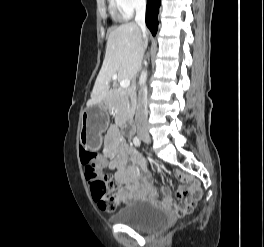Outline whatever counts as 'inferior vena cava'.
Returning <instances> with one entry per match:
<instances>
[{"label": "inferior vena cava", "mask_w": 264, "mask_h": 247, "mask_svg": "<svg viewBox=\"0 0 264 247\" xmlns=\"http://www.w3.org/2000/svg\"><path fill=\"white\" fill-rule=\"evenodd\" d=\"M136 16L135 22L140 27L142 33L146 34L145 24V11H146V0H137L135 5ZM148 114L147 108V88L143 86L138 93L135 122L137 127H140L146 123Z\"/></svg>", "instance_id": "inferior-vena-cava-1"}]
</instances>
